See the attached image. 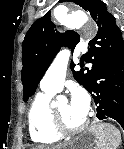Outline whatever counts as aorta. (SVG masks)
Segmentation results:
<instances>
[{
  "mask_svg": "<svg viewBox=\"0 0 124 149\" xmlns=\"http://www.w3.org/2000/svg\"><path fill=\"white\" fill-rule=\"evenodd\" d=\"M59 22L72 29H79L89 22L87 14L81 10L59 18Z\"/></svg>",
  "mask_w": 124,
  "mask_h": 149,
  "instance_id": "1",
  "label": "aorta"
}]
</instances>
